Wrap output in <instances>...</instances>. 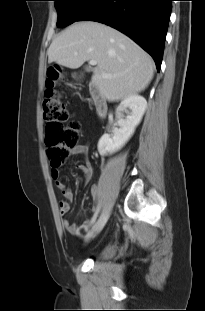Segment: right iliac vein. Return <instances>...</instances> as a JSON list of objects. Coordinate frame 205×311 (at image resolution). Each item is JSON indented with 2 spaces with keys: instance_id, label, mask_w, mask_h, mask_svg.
<instances>
[{
  "instance_id": "obj_1",
  "label": "right iliac vein",
  "mask_w": 205,
  "mask_h": 311,
  "mask_svg": "<svg viewBox=\"0 0 205 311\" xmlns=\"http://www.w3.org/2000/svg\"><path fill=\"white\" fill-rule=\"evenodd\" d=\"M111 214V207H107L103 210V212L101 213L99 219L97 220V222L95 223L92 233L90 235V237H94L96 234H98L105 226V224L107 223L109 217Z\"/></svg>"
}]
</instances>
